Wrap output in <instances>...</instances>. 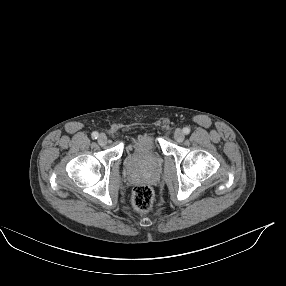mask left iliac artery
Segmentation results:
<instances>
[{"instance_id": "1", "label": "left iliac artery", "mask_w": 286, "mask_h": 286, "mask_svg": "<svg viewBox=\"0 0 286 286\" xmlns=\"http://www.w3.org/2000/svg\"><path fill=\"white\" fill-rule=\"evenodd\" d=\"M190 128L189 127H185V128H183V132L185 133V134H189L190 133Z\"/></svg>"}]
</instances>
